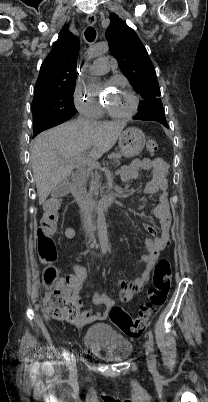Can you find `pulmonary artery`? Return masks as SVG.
<instances>
[{
	"label": "pulmonary artery",
	"instance_id": "obj_1",
	"mask_svg": "<svg viewBox=\"0 0 208 402\" xmlns=\"http://www.w3.org/2000/svg\"><path fill=\"white\" fill-rule=\"evenodd\" d=\"M95 55H102V52H96L94 53ZM107 59L105 58H99L97 59L91 66H90V73L92 74H105L108 71L107 68Z\"/></svg>",
	"mask_w": 208,
	"mask_h": 402
}]
</instances>
